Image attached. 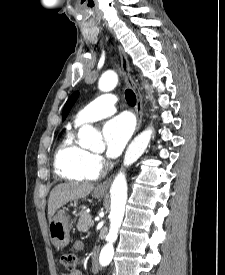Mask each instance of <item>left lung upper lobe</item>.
<instances>
[{
  "instance_id": "left-lung-upper-lobe-1",
  "label": "left lung upper lobe",
  "mask_w": 225,
  "mask_h": 275,
  "mask_svg": "<svg viewBox=\"0 0 225 275\" xmlns=\"http://www.w3.org/2000/svg\"><path fill=\"white\" fill-rule=\"evenodd\" d=\"M78 97V92L74 93L66 102L64 109H63V120L68 115L70 109L72 108L73 104L75 103L76 99Z\"/></svg>"
}]
</instances>
